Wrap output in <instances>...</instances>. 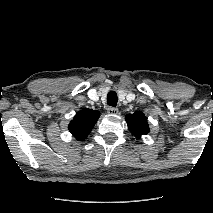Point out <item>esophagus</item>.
<instances>
[{"mask_svg":"<svg viewBox=\"0 0 213 213\" xmlns=\"http://www.w3.org/2000/svg\"><path fill=\"white\" fill-rule=\"evenodd\" d=\"M107 112L110 115H117L119 111H118L117 108L110 106V107L107 108Z\"/></svg>","mask_w":213,"mask_h":213,"instance_id":"34e87169","label":"esophagus"}]
</instances>
